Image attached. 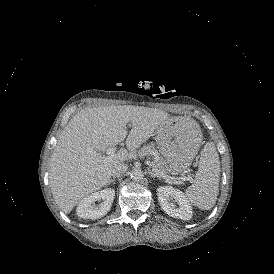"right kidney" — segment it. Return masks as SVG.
I'll return each mask as SVG.
<instances>
[{"mask_svg":"<svg viewBox=\"0 0 274 274\" xmlns=\"http://www.w3.org/2000/svg\"><path fill=\"white\" fill-rule=\"evenodd\" d=\"M115 190L104 189L99 192L88 195L80 201L77 207V216L82 219L96 220L106 215L114 200ZM99 201L100 204L95 206V202Z\"/></svg>","mask_w":274,"mask_h":274,"instance_id":"right-kidney-1","label":"right kidney"}]
</instances>
